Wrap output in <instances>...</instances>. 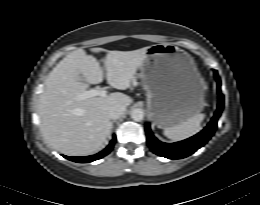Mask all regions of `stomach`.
<instances>
[{
    "mask_svg": "<svg viewBox=\"0 0 260 205\" xmlns=\"http://www.w3.org/2000/svg\"><path fill=\"white\" fill-rule=\"evenodd\" d=\"M140 78L149 117L160 129L179 125L204 108V79L193 57L174 44L148 47Z\"/></svg>",
    "mask_w": 260,
    "mask_h": 205,
    "instance_id": "obj_1",
    "label": "stomach"
}]
</instances>
